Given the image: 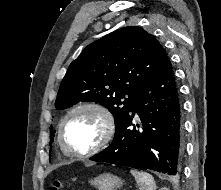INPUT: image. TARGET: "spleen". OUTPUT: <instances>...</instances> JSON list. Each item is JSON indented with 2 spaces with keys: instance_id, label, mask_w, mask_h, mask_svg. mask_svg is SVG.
Masks as SVG:
<instances>
[{
  "instance_id": "3e777b00",
  "label": "spleen",
  "mask_w": 221,
  "mask_h": 190,
  "mask_svg": "<svg viewBox=\"0 0 221 190\" xmlns=\"http://www.w3.org/2000/svg\"><path fill=\"white\" fill-rule=\"evenodd\" d=\"M130 172L134 176L140 190L156 189V183L151 174L133 169Z\"/></svg>"
}]
</instances>
